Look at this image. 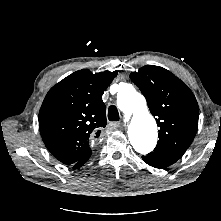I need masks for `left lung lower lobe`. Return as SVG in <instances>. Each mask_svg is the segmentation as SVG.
<instances>
[{"label": "left lung lower lobe", "instance_id": "left-lung-lower-lobe-1", "mask_svg": "<svg viewBox=\"0 0 221 221\" xmlns=\"http://www.w3.org/2000/svg\"><path fill=\"white\" fill-rule=\"evenodd\" d=\"M180 157L175 154H167L160 152H151L146 156H142V159L150 166L155 168H166L175 163Z\"/></svg>", "mask_w": 221, "mask_h": 221}]
</instances>
